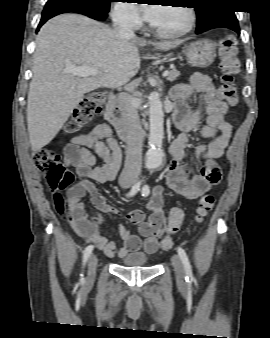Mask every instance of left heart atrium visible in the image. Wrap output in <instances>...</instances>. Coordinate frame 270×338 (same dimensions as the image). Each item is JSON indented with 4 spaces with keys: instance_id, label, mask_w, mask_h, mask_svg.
Wrapping results in <instances>:
<instances>
[{
    "instance_id": "39dd6f15",
    "label": "left heart atrium",
    "mask_w": 270,
    "mask_h": 338,
    "mask_svg": "<svg viewBox=\"0 0 270 338\" xmlns=\"http://www.w3.org/2000/svg\"><path fill=\"white\" fill-rule=\"evenodd\" d=\"M160 7L158 5H148L146 9L144 10V17L146 20L153 22L158 13H159Z\"/></svg>"
}]
</instances>
